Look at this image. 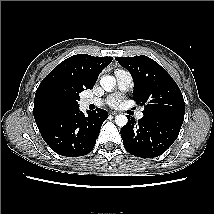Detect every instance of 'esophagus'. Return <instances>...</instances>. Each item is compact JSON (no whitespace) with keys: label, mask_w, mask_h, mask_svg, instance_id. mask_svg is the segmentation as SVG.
Returning a JSON list of instances; mask_svg holds the SVG:
<instances>
[{"label":"esophagus","mask_w":214,"mask_h":214,"mask_svg":"<svg viewBox=\"0 0 214 214\" xmlns=\"http://www.w3.org/2000/svg\"><path fill=\"white\" fill-rule=\"evenodd\" d=\"M111 115H117L118 113L113 111V112H110Z\"/></svg>","instance_id":"obj_1"}]
</instances>
